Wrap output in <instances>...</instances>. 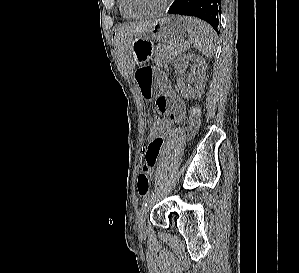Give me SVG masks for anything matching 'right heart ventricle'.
I'll return each instance as SVG.
<instances>
[{
	"label": "right heart ventricle",
	"instance_id": "e07e8e85",
	"mask_svg": "<svg viewBox=\"0 0 299 273\" xmlns=\"http://www.w3.org/2000/svg\"><path fill=\"white\" fill-rule=\"evenodd\" d=\"M119 10H120V14L124 19H134L135 17L129 15L123 8L122 6V1L119 0Z\"/></svg>",
	"mask_w": 299,
	"mask_h": 273
}]
</instances>
